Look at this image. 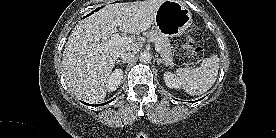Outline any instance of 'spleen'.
I'll return each instance as SVG.
<instances>
[{
    "label": "spleen",
    "instance_id": "1",
    "mask_svg": "<svg viewBox=\"0 0 276 138\" xmlns=\"http://www.w3.org/2000/svg\"><path fill=\"white\" fill-rule=\"evenodd\" d=\"M219 65L220 59L216 54H212L203 60L201 67L179 68L177 75L188 94L201 95L214 85Z\"/></svg>",
    "mask_w": 276,
    "mask_h": 138
}]
</instances>
